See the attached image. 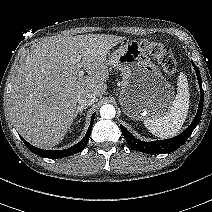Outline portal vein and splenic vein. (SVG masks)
Returning <instances> with one entry per match:
<instances>
[{
  "label": "portal vein and splenic vein",
  "mask_w": 212,
  "mask_h": 212,
  "mask_svg": "<svg viewBox=\"0 0 212 212\" xmlns=\"http://www.w3.org/2000/svg\"><path fill=\"white\" fill-rule=\"evenodd\" d=\"M78 59H80V57H78ZM79 75H80V76H83V75H84V70H83V69H81V70L79 71Z\"/></svg>",
  "instance_id": "portal-vein-and-splenic-vein-1"
}]
</instances>
